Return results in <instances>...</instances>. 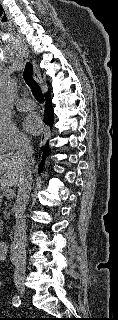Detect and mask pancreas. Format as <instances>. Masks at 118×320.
I'll return each instance as SVG.
<instances>
[{
	"instance_id": "cf45deb5",
	"label": "pancreas",
	"mask_w": 118,
	"mask_h": 320,
	"mask_svg": "<svg viewBox=\"0 0 118 320\" xmlns=\"http://www.w3.org/2000/svg\"><path fill=\"white\" fill-rule=\"evenodd\" d=\"M2 201H3L2 196H0V206L2 205ZM3 213H4V218L5 219L8 218L9 214L7 212V208L4 209ZM2 231H3V222L0 221V234L2 233Z\"/></svg>"
}]
</instances>
